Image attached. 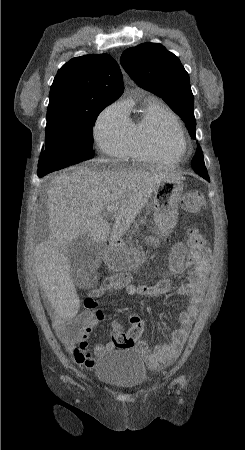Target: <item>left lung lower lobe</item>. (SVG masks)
I'll return each mask as SVG.
<instances>
[{
    "mask_svg": "<svg viewBox=\"0 0 245 450\" xmlns=\"http://www.w3.org/2000/svg\"><path fill=\"white\" fill-rule=\"evenodd\" d=\"M200 176H202V177L205 178L206 180L210 181V180H209L208 174H203V175H200Z\"/></svg>",
    "mask_w": 245,
    "mask_h": 450,
    "instance_id": "obj_1",
    "label": "left lung lower lobe"
}]
</instances>
